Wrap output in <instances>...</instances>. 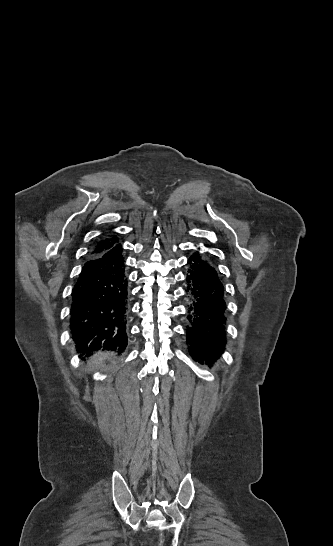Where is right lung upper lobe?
Listing matches in <instances>:
<instances>
[{
  "mask_svg": "<svg viewBox=\"0 0 333 546\" xmlns=\"http://www.w3.org/2000/svg\"><path fill=\"white\" fill-rule=\"evenodd\" d=\"M117 245H119L117 236H113L110 239H105L103 241H100L95 245V247L93 248L90 256L91 257H96L98 255H101L104 252L112 249L113 247H115Z\"/></svg>",
  "mask_w": 333,
  "mask_h": 546,
  "instance_id": "obj_1",
  "label": "right lung upper lobe"
}]
</instances>
